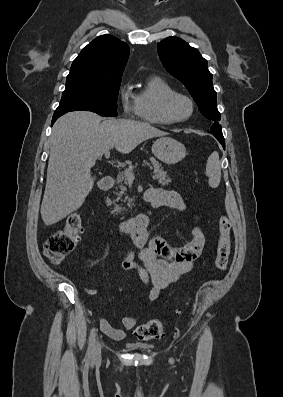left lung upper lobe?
<instances>
[{
  "mask_svg": "<svg viewBox=\"0 0 283 397\" xmlns=\"http://www.w3.org/2000/svg\"><path fill=\"white\" fill-rule=\"evenodd\" d=\"M157 50L163 66L186 86L201 113L207 119L215 121L210 128L211 132L223 135L221 125L217 122L221 116L207 60L197 49L178 37L164 39L158 43Z\"/></svg>",
  "mask_w": 283,
  "mask_h": 397,
  "instance_id": "1",
  "label": "left lung upper lobe"
}]
</instances>
